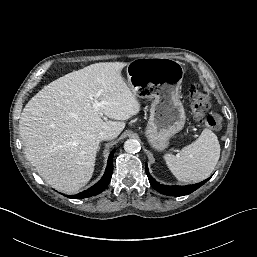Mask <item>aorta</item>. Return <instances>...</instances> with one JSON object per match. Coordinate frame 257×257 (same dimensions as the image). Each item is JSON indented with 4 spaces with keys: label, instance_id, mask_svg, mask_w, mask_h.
Instances as JSON below:
<instances>
[{
    "label": "aorta",
    "instance_id": "aorta-1",
    "mask_svg": "<svg viewBox=\"0 0 257 257\" xmlns=\"http://www.w3.org/2000/svg\"><path fill=\"white\" fill-rule=\"evenodd\" d=\"M124 149L128 153H137L140 150V143L135 139H128L124 143Z\"/></svg>",
    "mask_w": 257,
    "mask_h": 257
}]
</instances>
